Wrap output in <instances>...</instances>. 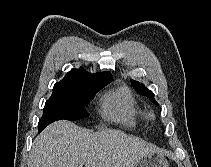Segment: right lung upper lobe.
Returning <instances> with one entry per match:
<instances>
[{"label": "right lung upper lobe", "mask_w": 211, "mask_h": 167, "mask_svg": "<svg viewBox=\"0 0 211 167\" xmlns=\"http://www.w3.org/2000/svg\"><path fill=\"white\" fill-rule=\"evenodd\" d=\"M112 75L110 72H99L95 74L87 73L83 67L79 70L72 69L66 76L54 85L53 89L66 88L86 82H103L111 81Z\"/></svg>", "instance_id": "cb5924a9"}]
</instances>
